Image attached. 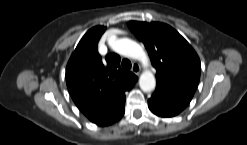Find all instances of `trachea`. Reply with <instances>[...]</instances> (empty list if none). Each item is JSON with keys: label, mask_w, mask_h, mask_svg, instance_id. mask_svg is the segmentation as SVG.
I'll return each mask as SVG.
<instances>
[{"label": "trachea", "mask_w": 247, "mask_h": 145, "mask_svg": "<svg viewBox=\"0 0 247 145\" xmlns=\"http://www.w3.org/2000/svg\"><path fill=\"white\" fill-rule=\"evenodd\" d=\"M122 68L124 70H129L131 68V62L128 59L122 60Z\"/></svg>", "instance_id": "trachea-1"}]
</instances>
